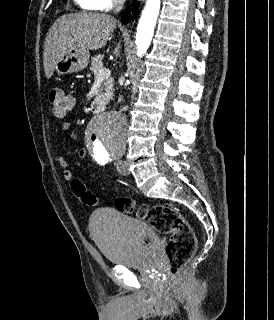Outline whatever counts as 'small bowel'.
<instances>
[{"instance_id": "obj_1", "label": "small bowel", "mask_w": 274, "mask_h": 320, "mask_svg": "<svg viewBox=\"0 0 274 320\" xmlns=\"http://www.w3.org/2000/svg\"><path fill=\"white\" fill-rule=\"evenodd\" d=\"M71 125L70 123L68 122H64L62 125H61V129L63 131H68L70 129ZM87 150L86 149H81L79 150L78 152V157L79 158H85L87 156ZM57 161L60 165V168L65 176L66 179H71L72 178V171H71V166H70V163L65 160V158L63 156H57Z\"/></svg>"}]
</instances>
